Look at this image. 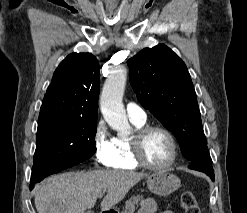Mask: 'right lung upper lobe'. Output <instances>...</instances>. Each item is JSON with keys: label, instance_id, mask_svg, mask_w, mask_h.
Here are the masks:
<instances>
[{"label": "right lung upper lobe", "instance_id": "right-lung-upper-lobe-1", "mask_svg": "<svg viewBox=\"0 0 247 213\" xmlns=\"http://www.w3.org/2000/svg\"><path fill=\"white\" fill-rule=\"evenodd\" d=\"M99 63L90 53H71L55 70L38 121L71 119L97 122Z\"/></svg>", "mask_w": 247, "mask_h": 213}]
</instances>
